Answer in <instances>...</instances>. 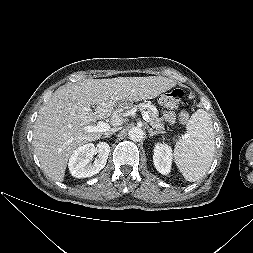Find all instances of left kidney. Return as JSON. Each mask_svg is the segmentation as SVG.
Wrapping results in <instances>:
<instances>
[{
  "instance_id": "left-kidney-1",
  "label": "left kidney",
  "mask_w": 253,
  "mask_h": 253,
  "mask_svg": "<svg viewBox=\"0 0 253 253\" xmlns=\"http://www.w3.org/2000/svg\"><path fill=\"white\" fill-rule=\"evenodd\" d=\"M153 162L158 172L167 175L171 170L172 150L167 144H156L154 148Z\"/></svg>"
}]
</instances>
